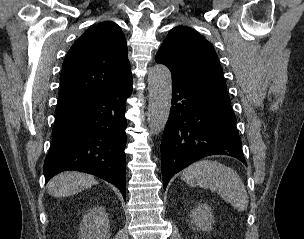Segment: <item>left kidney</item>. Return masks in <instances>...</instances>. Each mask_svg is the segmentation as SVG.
I'll return each instance as SVG.
<instances>
[{
    "mask_svg": "<svg viewBox=\"0 0 304 239\" xmlns=\"http://www.w3.org/2000/svg\"><path fill=\"white\" fill-rule=\"evenodd\" d=\"M191 222L202 231H210L214 222L212 209L205 204H200L190 213Z\"/></svg>",
    "mask_w": 304,
    "mask_h": 239,
    "instance_id": "5707ae66",
    "label": "left kidney"
}]
</instances>
